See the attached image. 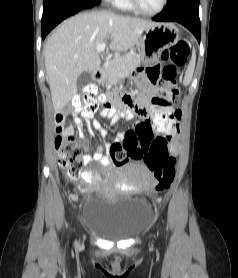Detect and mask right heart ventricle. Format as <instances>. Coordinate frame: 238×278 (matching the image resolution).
Segmentation results:
<instances>
[{"label": "right heart ventricle", "instance_id": "e07e8e85", "mask_svg": "<svg viewBox=\"0 0 238 278\" xmlns=\"http://www.w3.org/2000/svg\"><path fill=\"white\" fill-rule=\"evenodd\" d=\"M117 6L123 10H130L131 6L128 0H119Z\"/></svg>", "mask_w": 238, "mask_h": 278}]
</instances>
